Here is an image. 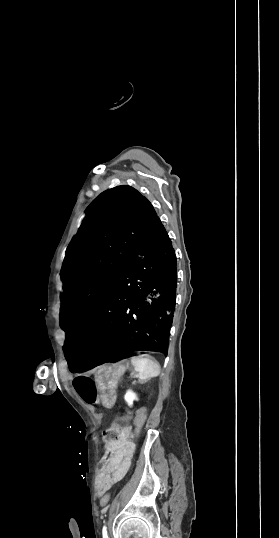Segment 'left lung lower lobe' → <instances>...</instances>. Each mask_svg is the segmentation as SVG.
I'll list each match as a JSON object with an SVG mask.
<instances>
[{"label":"left lung lower lobe","instance_id":"1","mask_svg":"<svg viewBox=\"0 0 279 538\" xmlns=\"http://www.w3.org/2000/svg\"><path fill=\"white\" fill-rule=\"evenodd\" d=\"M176 256L159 218L100 301L93 317L66 335L72 372H81L135 350L167 355L175 310Z\"/></svg>","mask_w":279,"mask_h":538}]
</instances>
